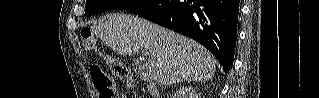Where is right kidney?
<instances>
[{"instance_id": "1", "label": "right kidney", "mask_w": 319, "mask_h": 98, "mask_svg": "<svg viewBox=\"0 0 319 98\" xmlns=\"http://www.w3.org/2000/svg\"><path fill=\"white\" fill-rule=\"evenodd\" d=\"M192 95H193V96H196V97H199L197 94H194V93H193Z\"/></svg>"}]
</instances>
